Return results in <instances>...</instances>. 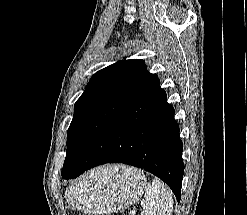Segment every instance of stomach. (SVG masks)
Returning <instances> with one entry per match:
<instances>
[{
    "label": "stomach",
    "instance_id": "stomach-1",
    "mask_svg": "<svg viewBox=\"0 0 247 215\" xmlns=\"http://www.w3.org/2000/svg\"><path fill=\"white\" fill-rule=\"evenodd\" d=\"M123 167L112 165L87 173L68 188L67 201L73 208L95 215L109 214L136 202L144 191L145 177L136 169Z\"/></svg>",
    "mask_w": 247,
    "mask_h": 215
}]
</instances>
